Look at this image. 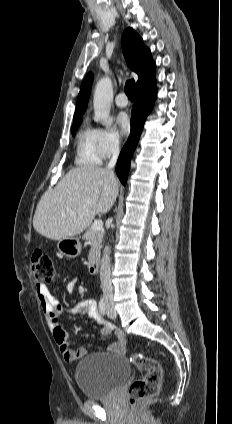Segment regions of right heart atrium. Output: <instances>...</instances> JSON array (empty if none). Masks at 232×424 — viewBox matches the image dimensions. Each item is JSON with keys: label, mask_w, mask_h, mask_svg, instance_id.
<instances>
[{"label": "right heart atrium", "mask_w": 232, "mask_h": 424, "mask_svg": "<svg viewBox=\"0 0 232 424\" xmlns=\"http://www.w3.org/2000/svg\"><path fill=\"white\" fill-rule=\"evenodd\" d=\"M97 145L103 158L114 155L121 145L119 133L114 128L97 130Z\"/></svg>", "instance_id": "1"}]
</instances>
